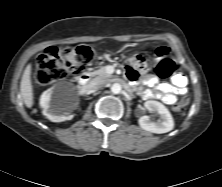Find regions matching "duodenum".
I'll list each match as a JSON object with an SVG mask.
<instances>
[{
  "label": "duodenum",
  "instance_id": "duodenum-1",
  "mask_svg": "<svg viewBox=\"0 0 222 187\" xmlns=\"http://www.w3.org/2000/svg\"><path fill=\"white\" fill-rule=\"evenodd\" d=\"M90 78H91L90 73H84L80 76L79 84L81 86L80 90H81L82 94H85L88 91V89H89L88 84H89Z\"/></svg>",
  "mask_w": 222,
  "mask_h": 187
}]
</instances>
